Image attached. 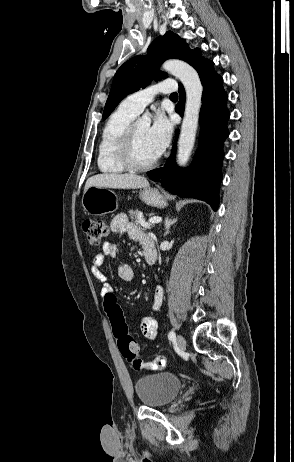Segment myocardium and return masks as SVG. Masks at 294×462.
<instances>
[{"instance_id": "myocardium-1", "label": "myocardium", "mask_w": 294, "mask_h": 462, "mask_svg": "<svg viewBox=\"0 0 294 462\" xmlns=\"http://www.w3.org/2000/svg\"><path fill=\"white\" fill-rule=\"evenodd\" d=\"M137 124V122L132 121L123 131L117 147V158L121 165L128 170L146 171L153 168L158 163L160 155L147 163H139L135 159L134 137Z\"/></svg>"}]
</instances>
